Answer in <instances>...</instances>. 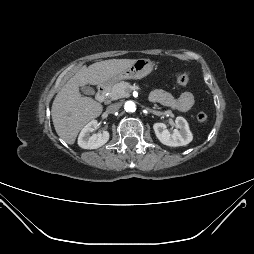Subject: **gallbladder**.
<instances>
[{"label": "gallbladder", "instance_id": "gallbladder-1", "mask_svg": "<svg viewBox=\"0 0 254 254\" xmlns=\"http://www.w3.org/2000/svg\"><path fill=\"white\" fill-rule=\"evenodd\" d=\"M81 91L86 94V95H94L95 91L93 88L89 87V86H83L81 88Z\"/></svg>", "mask_w": 254, "mask_h": 254}]
</instances>
